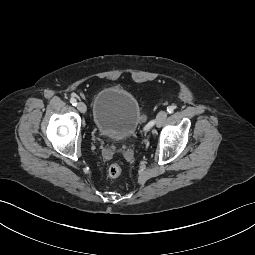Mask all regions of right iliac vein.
<instances>
[{
  "mask_svg": "<svg viewBox=\"0 0 255 255\" xmlns=\"http://www.w3.org/2000/svg\"><path fill=\"white\" fill-rule=\"evenodd\" d=\"M77 109L81 112V113H85L87 110L86 105L83 102H79L77 103Z\"/></svg>",
  "mask_w": 255,
  "mask_h": 255,
  "instance_id": "obj_1",
  "label": "right iliac vein"
}]
</instances>
